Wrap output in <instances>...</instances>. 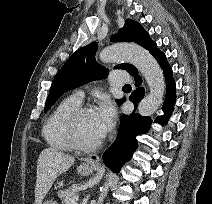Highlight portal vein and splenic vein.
I'll list each match as a JSON object with an SVG mask.
<instances>
[{
    "label": "portal vein and splenic vein",
    "mask_w": 212,
    "mask_h": 204,
    "mask_svg": "<svg viewBox=\"0 0 212 204\" xmlns=\"http://www.w3.org/2000/svg\"><path fill=\"white\" fill-rule=\"evenodd\" d=\"M78 197H73L67 200L66 204H77Z\"/></svg>",
    "instance_id": "18ae733b"
}]
</instances>
